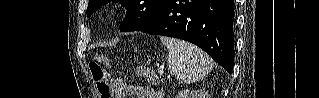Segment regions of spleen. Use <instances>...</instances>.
Returning a JSON list of instances; mask_svg holds the SVG:
<instances>
[{
    "instance_id": "3e777b00",
    "label": "spleen",
    "mask_w": 319,
    "mask_h": 98,
    "mask_svg": "<svg viewBox=\"0 0 319 98\" xmlns=\"http://www.w3.org/2000/svg\"><path fill=\"white\" fill-rule=\"evenodd\" d=\"M168 49V66L181 84H191L204 78L213 68L211 58L197 46L174 38L162 37Z\"/></svg>"
}]
</instances>
